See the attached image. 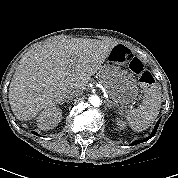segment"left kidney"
Here are the masks:
<instances>
[{"instance_id":"obj_1","label":"left kidney","mask_w":178,"mask_h":178,"mask_svg":"<svg viewBox=\"0 0 178 178\" xmlns=\"http://www.w3.org/2000/svg\"><path fill=\"white\" fill-rule=\"evenodd\" d=\"M115 122L120 130H123L126 127L125 122L118 118L115 120Z\"/></svg>"}]
</instances>
